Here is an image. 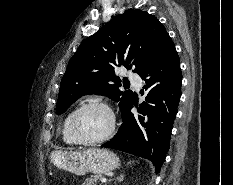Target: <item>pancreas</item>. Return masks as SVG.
<instances>
[{"instance_id":"1","label":"pancreas","mask_w":233,"mask_h":185,"mask_svg":"<svg viewBox=\"0 0 233 185\" xmlns=\"http://www.w3.org/2000/svg\"><path fill=\"white\" fill-rule=\"evenodd\" d=\"M101 178L100 175H92L85 180L82 185H97V181Z\"/></svg>"}]
</instances>
